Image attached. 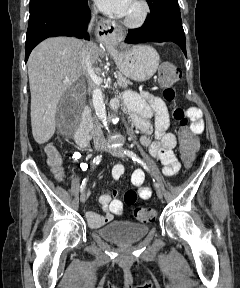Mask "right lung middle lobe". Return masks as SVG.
Returning a JSON list of instances; mask_svg holds the SVG:
<instances>
[{
  "instance_id": "right-lung-middle-lobe-1",
  "label": "right lung middle lobe",
  "mask_w": 240,
  "mask_h": 288,
  "mask_svg": "<svg viewBox=\"0 0 240 288\" xmlns=\"http://www.w3.org/2000/svg\"><path fill=\"white\" fill-rule=\"evenodd\" d=\"M79 0H30V16L38 13L43 8L54 4L75 3Z\"/></svg>"
}]
</instances>
